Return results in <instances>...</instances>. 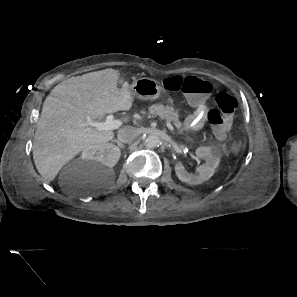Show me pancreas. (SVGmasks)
Listing matches in <instances>:
<instances>
[{
	"mask_svg": "<svg viewBox=\"0 0 297 297\" xmlns=\"http://www.w3.org/2000/svg\"><path fill=\"white\" fill-rule=\"evenodd\" d=\"M149 113L153 116L158 115L162 120H166L169 123H173L180 132L184 130L182 123L179 120V114L173 107L162 104H154L149 107Z\"/></svg>",
	"mask_w": 297,
	"mask_h": 297,
	"instance_id": "cf45deb5",
	"label": "pancreas"
}]
</instances>
